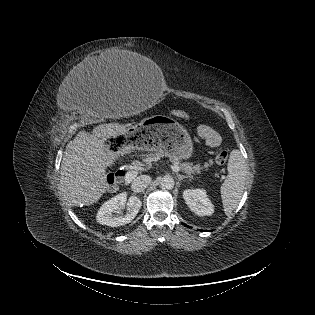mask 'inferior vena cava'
<instances>
[{
  "label": "inferior vena cava",
  "instance_id": "inferior-vena-cava-1",
  "mask_svg": "<svg viewBox=\"0 0 315 315\" xmlns=\"http://www.w3.org/2000/svg\"><path fill=\"white\" fill-rule=\"evenodd\" d=\"M151 183V177L147 175H141L134 179L131 184V189L135 193L144 191L147 186Z\"/></svg>",
  "mask_w": 315,
  "mask_h": 315
}]
</instances>
